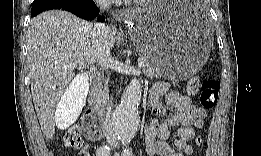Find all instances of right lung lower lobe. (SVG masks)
<instances>
[{"instance_id": "1", "label": "right lung lower lobe", "mask_w": 261, "mask_h": 156, "mask_svg": "<svg viewBox=\"0 0 261 156\" xmlns=\"http://www.w3.org/2000/svg\"><path fill=\"white\" fill-rule=\"evenodd\" d=\"M51 9L66 10L88 20L93 19L99 13V8L95 5L93 0H58L51 3L33 5L31 15L35 16L43 11ZM98 20L104 21L105 18L100 16Z\"/></svg>"}]
</instances>
